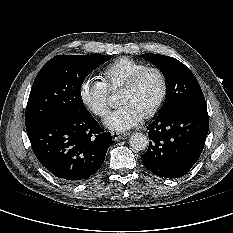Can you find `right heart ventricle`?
<instances>
[{"instance_id": "right-heart-ventricle-1", "label": "right heart ventricle", "mask_w": 233, "mask_h": 233, "mask_svg": "<svg viewBox=\"0 0 233 233\" xmlns=\"http://www.w3.org/2000/svg\"><path fill=\"white\" fill-rule=\"evenodd\" d=\"M146 67L145 63L128 57L118 58L103 70V82L109 90L121 89L135 73Z\"/></svg>"}]
</instances>
